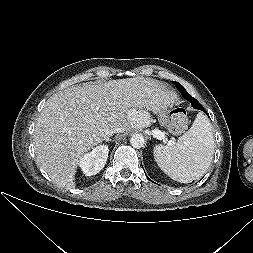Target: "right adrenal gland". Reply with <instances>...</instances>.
<instances>
[{
	"mask_svg": "<svg viewBox=\"0 0 253 253\" xmlns=\"http://www.w3.org/2000/svg\"><path fill=\"white\" fill-rule=\"evenodd\" d=\"M103 140H104L105 142L111 141L110 136L104 137Z\"/></svg>",
	"mask_w": 253,
	"mask_h": 253,
	"instance_id": "2a0ac1e0",
	"label": "right adrenal gland"
}]
</instances>
